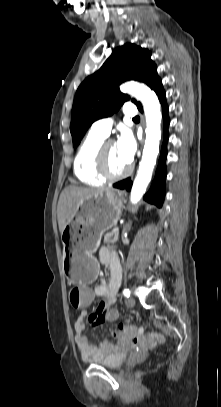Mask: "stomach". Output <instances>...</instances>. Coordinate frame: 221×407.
<instances>
[{
    "label": "stomach",
    "mask_w": 221,
    "mask_h": 407,
    "mask_svg": "<svg viewBox=\"0 0 221 407\" xmlns=\"http://www.w3.org/2000/svg\"><path fill=\"white\" fill-rule=\"evenodd\" d=\"M122 195L108 189L82 200L61 233L63 270L71 283H92L99 264L94 257L102 235L116 226L122 211Z\"/></svg>",
    "instance_id": "stomach-1"
}]
</instances>
